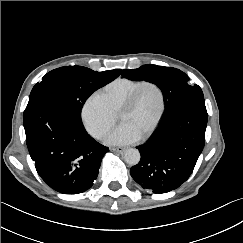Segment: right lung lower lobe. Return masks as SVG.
I'll return each mask as SVG.
<instances>
[{
	"label": "right lung lower lobe",
	"mask_w": 243,
	"mask_h": 243,
	"mask_svg": "<svg viewBox=\"0 0 243 243\" xmlns=\"http://www.w3.org/2000/svg\"><path fill=\"white\" fill-rule=\"evenodd\" d=\"M23 124L30 156L47 185L63 194L82 193L93 185L109 149L85 131L68 107L44 98L29 99Z\"/></svg>",
	"instance_id": "right-lung-lower-lobe-1"
}]
</instances>
